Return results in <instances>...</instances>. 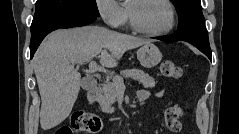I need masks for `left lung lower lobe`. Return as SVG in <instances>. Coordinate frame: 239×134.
<instances>
[{
  "label": "left lung lower lobe",
  "instance_id": "0a47b994",
  "mask_svg": "<svg viewBox=\"0 0 239 134\" xmlns=\"http://www.w3.org/2000/svg\"><path fill=\"white\" fill-rule=\"evenodd\" d=\"M157 39L166 42L186 41L196 46L201 52H203L211 60V49L209 45L208 32L201 31H184L180 33H174L169 36L157 37Z\"/></svg>",
  "mask_w": 239,
  "mask_h": 134
}]
</instances>
